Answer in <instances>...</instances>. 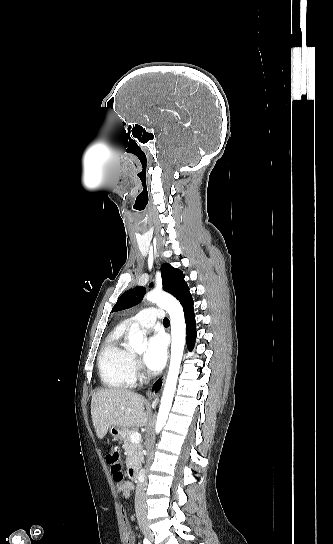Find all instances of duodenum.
<instances>
[{
  "label": "duodenum",
  "mask_w": 333,
  "mask_h": 544,
  "mask_svg": "<svg viewBox=\"0 0 333 544\" xmlns=\"http://www.w3.org/2000/svg\"><path fill=\"white\" fill-rule=\"evenodd\" d=\"M128 476L131 480L137 481L139 479V470L136 466H131L128 469Z\"/></svg>",
  "instance_id": "410a0bca"
}]
</instances>
